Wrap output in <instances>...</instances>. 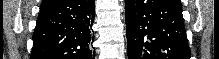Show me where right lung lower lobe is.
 Here are the masks:
<instances>
[{"instance_id": "obj_1", "label": "right lung lower lobe", "mask_w": 219, "mask_h": 59, "mask_svg": "<svg viewBox=\"0 0 219 59\" xmlns=\"http://www.w3.org/2000/svg\"><path fill=\"white\" fill-rule=\"evenodd\" d=\"M94 0H44L30 59H91Z\"/></svg>"}]
</instances>
